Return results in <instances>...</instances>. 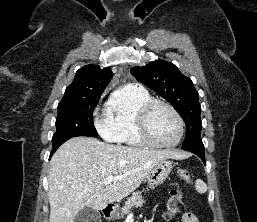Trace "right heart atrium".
<instances>
[{
  "label": "right heart atrium",
  "mask_w": 257,
  "mask_h": 222,
  "mask_svg": "<svg viewBox=\"0 0 257 222\" xmlns=\"http://www.w3.org/2000/svg\"><path fill=\"white\" fill-rule=\"evenodd\" d=\"M97 130L99 134L104 137L105 139L112 140L113 137L110 132V122L108 117H106L104 120L99 121L96 124Z\"/></svg>",
  "instance_id": "right-heart-atrium-1"
}]
</instances>
